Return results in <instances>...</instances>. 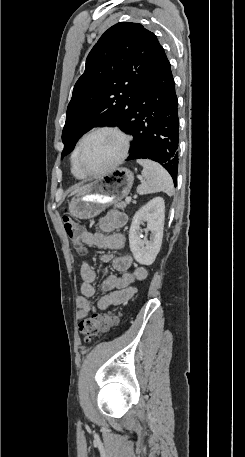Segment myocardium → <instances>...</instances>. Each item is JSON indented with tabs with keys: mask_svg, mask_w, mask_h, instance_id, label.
Returning a JSON list of instances; mask_svg holds the SVG:
<instances>
[{
	"mask_svg": "<svg viewBox=\"0 0 245 457\" xmlns=\"http://www.w3.org/2000/svg\"><path fill=\"white\" fill-rule=\"evenodd\" d=\"M100 132H111L118 136L121 139V148H120V153L118 156L115 158V160L110 163L108 166L97 170V171H89L87 170L84 165L81 162V153L84 149V146L87 142V140L94 134L100 133ZM130 147V139L127 134H125L122 130H120L118 127L115 126H98L90 130L85 136L82 138L77 151H76V162L79 167V169L82 171V173L85 176H98L100 174H103L107 171H110L114 169L116 166H118L128 155Z\"/></svg>",
	"mask_w": 245,
	"mask_h": 457,
	"instance_id": "f54148a6",
	"label": "myocardium"
}]
</instances>
